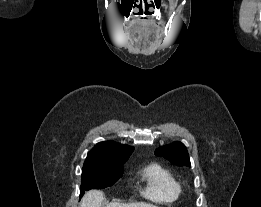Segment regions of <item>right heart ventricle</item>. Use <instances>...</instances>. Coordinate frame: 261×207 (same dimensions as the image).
Here are the masks:
<instances>
[{"mask_svg": "<svg viewBox=\"0 0 261 207\" xmlns=\"http://www.w3.org/2000/svg\"><path fill=\"white\" fill-rule=\"evenodd\" d=\"M146 181L143 196L158 203H173L181 195L182 185L176 175L159 163H151L143 168Z\"/></svg>", "mask_w": 261, "mask_h": 207, "instance_id": "1", "label": "right heart ventricle"}]
</instances>
